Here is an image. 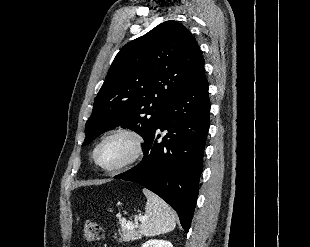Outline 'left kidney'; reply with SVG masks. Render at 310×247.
<instances>
[{"mask_svg": "<svg viewBox=\"0 0 310 247\" xmlns=\"http://www.w3.org/2000/svg\"><path fill=\"white\" fill-rule=\"evenodd\" d=\"M141 247H173L172 243L166 240H148Z\"/></svg>", "mask_w": 310, "mask_h": 247, "instance_id": "1", "label": "left kidney"}]
</instances>
